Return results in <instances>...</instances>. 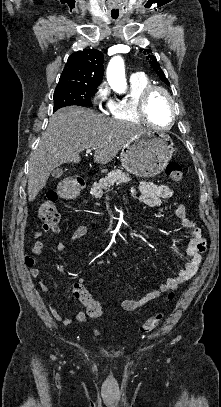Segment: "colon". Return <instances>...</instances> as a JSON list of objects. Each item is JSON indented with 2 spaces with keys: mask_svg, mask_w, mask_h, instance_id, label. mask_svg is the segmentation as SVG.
Instances as JSON below:
<instances>
[{
  "mask_svg": "<svg viewBox=\"0 0 221 407\" xmlns=\"http://www.w3.org/2000/svg\"><path fill=\"white\" fill-rule=\"evenodd\" d=\"M167 176L174 182H179L183 179V168L178 162H169L166 166ZM57 194L49 191L45 194V200L39 208V217L42 223L41 234H54L59 231L60 214L56 206ZM74 293L79 298L80 302L86 307L87 313L91 317H99L103 310L97 301H95L84 285L76 281L73 285ZM173 298V294H169V299ZM164 314L158 313L147 319L139 328L140 332L149 333L154 330L163 320Z\"/></svg>",
  "mask_w": 221,
  "mask_h": 407,
  "instance_id": "5ec220e1",
  "label": "colon"
}]
</instances>
